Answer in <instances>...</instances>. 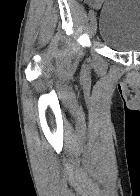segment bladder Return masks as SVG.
I'll return each instance as SVG.
<instances>
[{
  "mask_svg": "<svg viewBox=\"0 0 140 196\" xmlns=\"http://www.w3.org/2000/svg\"><path fill=\"white\" fill-rule=\"evenodd\" d=\"M102 42L117 52H140V0H106L101 8Z\"/></svg>",
  "mask_w": 140,
  "mask_h": 196,
  "instance_id": "obj_1",
  "label": "bladder"
}]
</instances>
